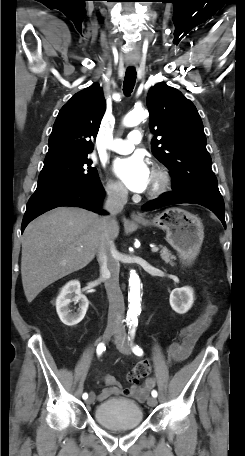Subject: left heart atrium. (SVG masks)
<instances>
[{"mask_svg":"<svg viewBox=\"0 0 245 456\" xmlns=\"http://www.w3.org/2000/svg\"><path fill=\"white\" fill-rule=\"evenodd\" d=\"M112 170L131 191L143 192L149 186L151 172L140 154L116 159Z\"/></svg>","mask_w":245,"mask_h":456,"instance_id":"39dd6f15","label":"left heart atrium"}]
</instances>
